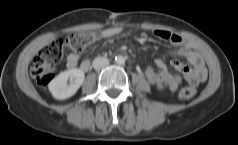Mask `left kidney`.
<instances>
[{
  "mask_svg": "<svg viewBox=\"0 0 238 145\" xmlns=\"http://www.w3.org/2000/svg\"><path fill=\"white\" fill-rule=\"evenodd\" d=\"M158 87H159L160 89H162V85H161V84H159Z\"/></svg>",
  "mask_w": 238,
  "mask_h": 145,
  "instance_id": "left-kidney-1",
  "label": "left kidney"
}]
</instances>
